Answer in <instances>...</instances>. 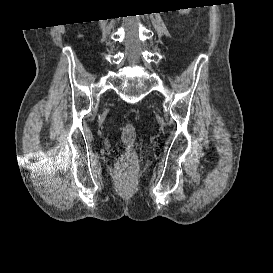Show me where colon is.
Instances as JSON below:
<instances>
[{
    "label": "colon",
    "mask_w": 273,
    "mask_h": 273,
    "mask_svg": "<svg viewBox=\"0 0 273 273\" xmlns=\"http://www.w3.org/2000/svg\"><path fill=\"white\" fill-rule=\"evenodd\" d=\"M135 140L136 131L132 124H126L122 129V141L125 144V151L118 165V171L122 175L135 167Z\"/></svg>",
    "instance_id": "5ec220e1"
}]
</instances>
